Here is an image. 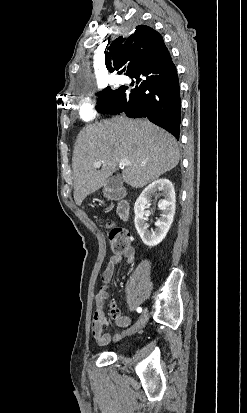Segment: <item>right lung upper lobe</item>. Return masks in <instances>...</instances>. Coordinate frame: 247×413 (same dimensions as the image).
Masks as SVG:
<instances>
[{"label": "right lung upper lobe", "mask_w": 247, "mask_h": 413, "mask_svg": "<svg viewBox=\"0 0 247 413\" xmlns=\"http://www.w3.org/2000/svg\"><path fill=\"white\" fill-rule=\"evenodd\" d=\"M108 49L107 69L127 76L151 73L171 60L162 36L146 25L136 26L131 36L117 38Z\"/></svg>", "instance_id": "right-lung-upper-lobe-1"}]
</instances>
